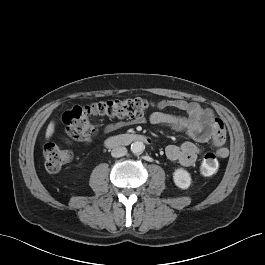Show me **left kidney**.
I'll return each instance as SVG.
<instances>
[{"label": "left kidney", "mask_w": 265, "mask_h": 265, "mask_svg": "<svg viewBox=\"0 0 265 265\" xmlns=\"http://www.w3.org/2000/svg\"><path fill=\"white\" fill-rule=\"evenodd\" d=\"M173 180L175 185L181 189H187L191 184L190 173L183 168H178L175 170L173 174Z\"/></svg>", "instance_id": "5707ae66"}]
</instances>
